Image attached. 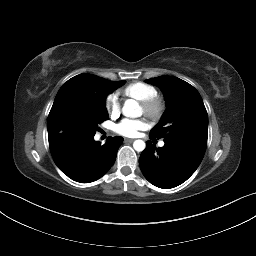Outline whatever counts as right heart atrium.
I'll return each mask as SVG.
<instances>
[{
	"label": "right heart atrium",
	"instance_id": "obj_1",
	"mask_svg": "<svg viewBox=\"0 0 256 256\" xmlns=\"http://www.w3.org/2000/svg\"><path fill=\"white\" fill-rule=\"evenodd\" d=\"M104 104L105 109L110 116L115 117L119 114L120 104L115 95L112 94L107 96Z\"/></svg>",
	"mask_w": 256,
	"mask_h": 256
}]
</instances>
